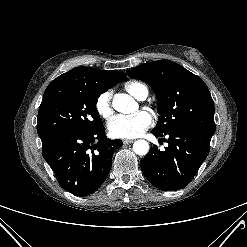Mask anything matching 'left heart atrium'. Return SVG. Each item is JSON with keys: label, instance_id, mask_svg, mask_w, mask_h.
I'll return each instance as SVG.
<instances>
[{"label": "left heart atrium", "instance_id": "39dd6f15", "mask_svg": "<svg viewBox=\"0 0 247 247\" xmlns=\"http://www.w3.org/2000/svg\"><path fill=\"white\" fill-rule=\"evenodd\" d=\"M153 120L146 111H139L132 115H118L108 124V130L114 138H135L147 130Z\"/></svg>", "mask_w": 247, "mask_h": 247}]
</instances>
